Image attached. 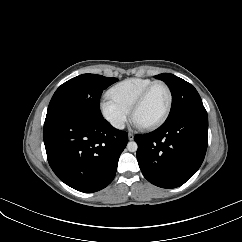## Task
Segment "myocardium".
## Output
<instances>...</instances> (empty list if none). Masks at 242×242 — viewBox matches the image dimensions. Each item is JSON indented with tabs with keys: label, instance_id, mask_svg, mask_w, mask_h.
I'll return each mask as SVG.
<instances>
[{
	"label": "myocardium",
	"instance_id": "myocardium-1",
	"mask_svg": "<svg viewBox=\"0 0 242 242\" xmlns=\"http://www.w3.org/2000/svg\"><path fill=\"white\" fill-rule=\"evenodd\" d=\"M158 85H162L166 89V92H167L168 98H167V104H166L165 110L162 113V115L160 116V118L158 120H156L155 122L148 124V125L140 126L142 129L150 130V129H154V128L160 126L166 120V118L169 115V112L171 110L172 103H173V94H172V90H171L170 86L164 81H160V80L154 81L152 84H150L148 87H146L142 91V93L137 97V99L133 103L131 110H130L132 120L135 122L134 119H135V114H136L137 110L143 104V102L145 101V99L147 98L149 93L152 91V89Z\"/></svg>",
	"mask_w": 242,
	"mask_h": 242
}]
</instances>
